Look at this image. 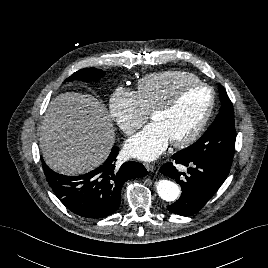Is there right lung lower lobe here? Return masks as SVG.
I'll return each instance as SVG.
<instances>
[{"instance_id": "1", "label": "right lung lower lobe", "mask_w": 268, "mask_h": 268, "mask_svg": "<svg viewBox=\"0 0 268 268\" xmlns=\"http://www.w3.org/2000/svg\"><path fill=\"white\" fill-rule=\"evenodd\" d=\"M118 149L114 146L101 166L80 176L60 175L42 162L49 185L70 211L86 218L111 215L120 206L123 184L147 175L145 167L137 162H127L117 168Z\"/></svg>"}]
</instances>
